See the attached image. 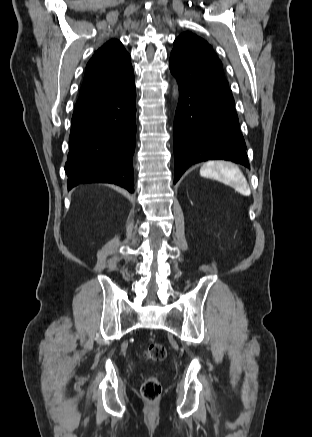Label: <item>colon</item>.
I'll list each match as a JSON object with an SVG mask.
<instances>
[{
    "mask_svg": "<svg viewBox=\"0 0 312 437\" xmlns=\"http://www.w3.org/2000/svg\"><path fill=\"white\" fill-rule=\"evenodd\" d=\"M144 358L149 361L161 362L166 357V349L160 343H150L144 349ZM142 395L146 400L154 401L162 391L161 382L157 377L148 378L142 386Z\"/></svg>",
    "mask_w": 312,
    "mask_h": 437,
    "instance_id": "colon-1",
    "label": "colon"
}]
</instances>
